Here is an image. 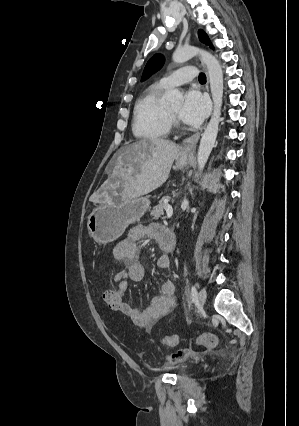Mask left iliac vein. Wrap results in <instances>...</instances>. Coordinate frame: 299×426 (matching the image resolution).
<instances>
[{"instance_id":"left-iliac-vein-1","label":"left iliac vein","mask_w":299,"mask_h":426,"mask_svg":"<svg viewBox=\"0 0 299 426\" xmlns=\"http://www.w3.org/2000/svg\"><path fill=\"white\" fill-rule=\"evenodd\" d=\"M198 296H199L200 304H201V306H203L205 304L206 298H207V294H206V291H205L204 288H201L199 290Z\"/></svg>"}]
</instances>
